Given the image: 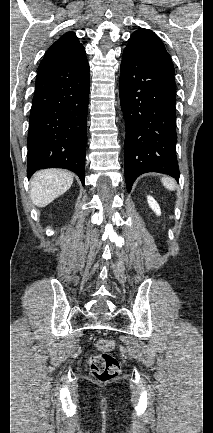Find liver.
<instances>
[{"instance_id":"6515ba94","label":"liver","mask_w":213,"mask_h":433,"mask_svg":"<svg viewBox=\"0 0 213 433\" xmlns=\"http://www.w3.org/2000/svg\"><path fill=\"white\" fill-rule=\"evenodd\" d=\"M73 183V174L62 169L37 171L30 181V197L37 207H45L64 194Z\"/></svg>"}]
</instances>
